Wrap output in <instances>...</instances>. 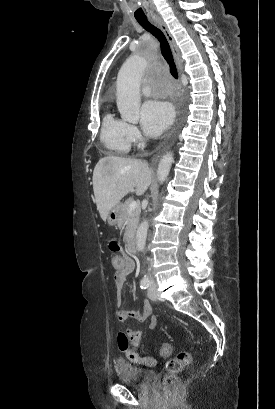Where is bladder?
Wrapping results in <instances>:
<instances>
[{
  "label": "bladder",
  "mask_w": 275,
  "mask_h": 409,
  "mask_svg": "<svg viewBox=\"0 0 275 409\" xmlns=\"http://www.w3.org/2000/svg\"><path fill=\"white\" fill-rule=\"evenodd\" d=\"M116 380L121 384L135 388L148 387L157 378L158 373L149 368H143L129 362H119L116 366Z\"/></svg>",
  "instance_id": "bladder-1"
}]
</instances>
